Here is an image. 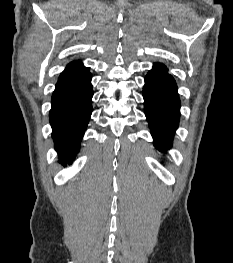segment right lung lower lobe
<instances>
[{
    "instance_id": "1",
    "label": "right lung lower lobe",
    "mask_w": 233,
    "mask_h": 263,
    "mask_svg": "<svg viewBox=\"0 0 233 263\" xmlns=\"http://www.w3.org/2000/svg\"><path fill=\"white\" fill-rule=\"evenodd\" d=\"M91 74L86 67L65 69L51 98L50 124L59 163H71L92 112Z\"/></svg>"
}]
</instances>
